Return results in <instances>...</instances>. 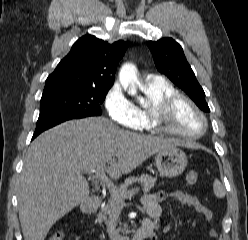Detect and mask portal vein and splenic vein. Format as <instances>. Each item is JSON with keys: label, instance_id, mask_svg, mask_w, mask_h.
Listing matches in <instances>:
<instances>
[{"label": "portal vein and splenic vein", "instance_id": "1", "mask_svg": "<svg viewBox=\"0 0 248 240\" xmlns=\"http://www.w3.org/2000/svg\"><path fill=\"white\" fill-rule=\"evenodd\" d=\"M105 169L106 166L102 165L99 166L96 169L88 170V172L93 173V177L99 181H102L106 184L107 188L111 193H115L117 190V187L114 185V183L105 175ZM139 191V188H133L132 190H129L124 194L125 198H130L131 196L135 195ZM124 206V203L121 204V207Z\"/></svg>", "mask_w": 248, "mask_h": 240}]
</instances>
